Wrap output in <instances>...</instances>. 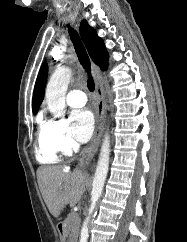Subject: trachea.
<instances>
[{"label": "trachea", "instance_id": "3493384b", "mask_svg": "<svg viewBox=\"0 0 187 242\" xmlns=\"http://www.w3.org/2000/svg\"><path fill=\"white\" fill-rule=\"evenodd\" d=\"M68 31H69L71 40L73 42L79 62L88 74V80H87L88 89L90 92H93L95 89V84H94L93 78L91 76V63H90L88 54L86 52V49H85L78 33L70 26L68 27Z\"/></svg>", "mask_w": 187, "mask_h": 242}]
</instances>
